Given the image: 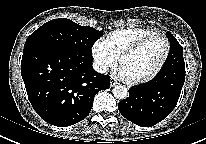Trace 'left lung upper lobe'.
Wrapping results in <instances>:
<instances>
[{
	"mask_svg": "<svg viewBox=\"0 0 206 144\" xmlns=\"http://www.w3.org/2000/svg\"><path fill=\"white\" fill-rule=\"evenodd\" d=\"M167 37L170 42V52L162 68L176 63L184 65L185 63L183 59V49L181 45L176 40V38L171 34V32H167Z\"/></svg>",
	"mask_w": 206,
	"mask_h": 144,
	"instance_id": "left-lung-upper-lobe-1",
	"label": "left lung upper lobe"
}]
</instances>
